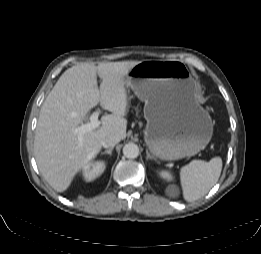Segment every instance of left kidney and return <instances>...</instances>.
<instances>
[{
	"label": "left kidney",
	"mask_w": 261,
	"mask_h": 254,
	"mask_svg": "<svg viewBox=\"0 0 261 254\" xmlns=\"http://www.w3.org/2000/svg\"><path fill=\"white\" fill-rule=\"evenodd\" d=\"M160 176L168 181H171L173 179L172 175L167 171H161Z\"/></svg>",
	"instance_id": "1"
}]
</instances>
